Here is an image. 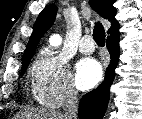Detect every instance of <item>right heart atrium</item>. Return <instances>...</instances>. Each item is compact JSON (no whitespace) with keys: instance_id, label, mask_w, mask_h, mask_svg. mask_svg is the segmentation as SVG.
Segmentation results:
<instances>
[{"instance_id":"right-heart-atrium-1","label":"right heart atrium","mask_w":142,"mask_h":119,"mask_svg":"<svg viewBox=\"0 0 142 119\" xmlns=\"http://www.w3.org/2000/svg\"><path fill=\"white\" fill-rule=\"evenodd\" d=\"M31 71L33 93L42 105L55 108L75 100L77 92L72 83L69 65L59 52H41Z\"/></svg>"}]
</instances>
